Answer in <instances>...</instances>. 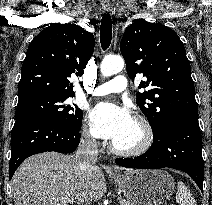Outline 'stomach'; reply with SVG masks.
<instances>
[{"instance_id": "0dacf381", "label": "stomach", "mask_w": 212, "mask_h": 205, "mask_svg": "<svg viewBox=\"0 0 212 205\" xmlns=\"http://www.w3.org/2000/svg\"><path fill=\"white\" fill-rule=\"evenodd\" d=\"M115 184L133 205H162L174 190V179L164 170H129L113 175Z\"/></svg>"}]
</instances>
